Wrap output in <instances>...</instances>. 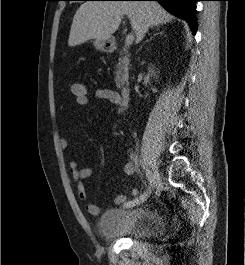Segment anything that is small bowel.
Returning a JSON list of instances; mask_svg holds the SVG:
<instances>
[{"label": "small bowel", "instance_id": "obj_1", "mask_svg": "<svg viewBox=\"0 0 245 265\" xmlns=\"http://www.w3.org/2000/svg\"><path fill=\"white\" fill-rule=\"evenodd\" d=\"M95 97L98 99L107 100L111 102L112 104L119 106L118 112L119 113L122 112L123 103L121 100V96L117 91L108 89V88H98L95 91ZM60 146L63 149H66L69 146L68 139L65 137L61 138ZM68 170H69L71 179L73 180V182L75 183L77 187V193H78L79 199L85 202L86 211L93 216L99 215L101 212V207L95 203L89 202V197H88L85 185L83 183L84 179H87L92 175L93 169L89 166L79 168L77 162L74 160H71L68 163ZM124 172L127 175H134L136 173L135 165L131 162L125 164ZM130 194L132 196H136L138 194L137 189L135 188L131 189ZM125 202H126V196L123 194H118L114 198V203L117 205H124Z\"/></svg>", "mask_w": 245, "mask_h": 265}]
</instances>
